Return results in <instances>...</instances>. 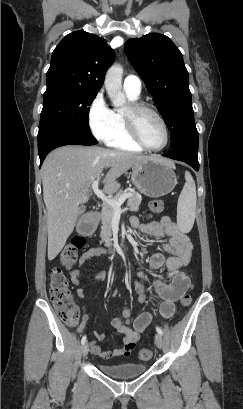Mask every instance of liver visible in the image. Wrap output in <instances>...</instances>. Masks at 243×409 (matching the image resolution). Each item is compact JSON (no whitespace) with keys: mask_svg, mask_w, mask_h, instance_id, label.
<instances>
[{"mask_svg":"<svg viewBox=\"0 0 243 409\" xmlns=\"http://www.w3.org/2000/svg\"><path fill=\"white\" fill-rule=\"evenodd\" d=\"M151 158L98 146L68 145L55 149L42 165L43 199L47 208L48 260L60 253L87 202L90 187L105 168L104 192L115 193L117 179L131 167Z\"/></svg>","mask_w":243,"mask_h":409,"instance_id":"obj_1","label":"liver"}]
</instances>
